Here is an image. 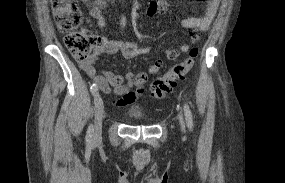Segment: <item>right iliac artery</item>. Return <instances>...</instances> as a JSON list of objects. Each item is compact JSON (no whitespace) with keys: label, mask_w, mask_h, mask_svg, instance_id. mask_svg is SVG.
<instances>
[{"label":"right iliac artery","mask_w":285,"mask_h":183,"mask_svg":"<svg viewBox=\"0 0 285 183\" xmlns=\"http://www.w3.org/2000/svg\"><path fill=\"white\" fill-rule=\"evenodd\" d=\"M92 94H95L98 90V86L96 83L92 84V86L90 87ZM92 136H93V127L89 126L88 131H87V135H86V141L87 142H91L92 141Z\"/></svg>","instance_id":"right-iliac-artery-1"}]
</instances>
